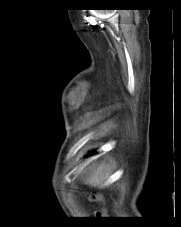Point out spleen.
I'll return each instance as SVG.
<instances>
[{
    "label": "spleen",
    "mask_w": 181,
    "mask_h": 227,
    "mask_svg": "<svg viewBox=\"0 0 181 227\" xmlns=\"http://www.w3.org/2000/svg\"><path fill=\"white\" fill-rule=\"evenodd\" d=\"M109 171L107 168H104L103 166H98L96 168H93L92 173H89V175L85 178V183L89 184L91 186H98V187H104L105 181L109 177Z\"/></svg>",
    "instance_id": "spleen-1"
}]
</instances>
